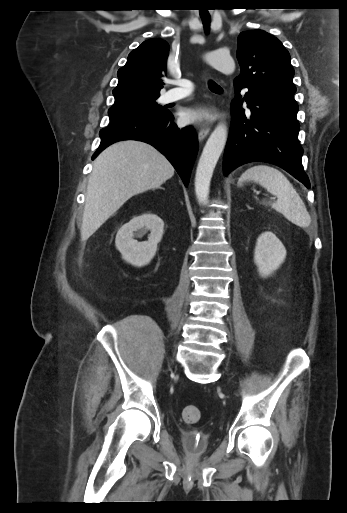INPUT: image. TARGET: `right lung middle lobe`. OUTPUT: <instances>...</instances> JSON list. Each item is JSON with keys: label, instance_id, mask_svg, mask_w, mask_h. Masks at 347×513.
Segmentation results:
<instances>
[{"label": "right lung middle lobe", "instance_id": "right-lung-middle-lobe-1", "mask_svg": "<svg viewBox=\"0 0 347 513\" xmlns=\"http://www.w3.org/2000/svg\"><path fill=\"white\" fill-rule=\"evenodd\" d=\"M157 98L145 97L115 104L108 111L110 120L132 115L161 116L167 110L156 103Z\"/></svg>", "mask_w": 347, "mask_h": 513}]
</instances>
